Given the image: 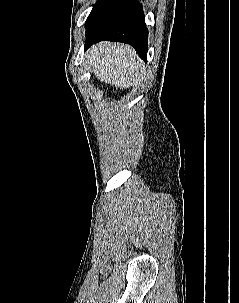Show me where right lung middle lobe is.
<instances>
[{
  "label": "right lung middle lobe",
  "instance_id": "right-lung-middle-lobe-1",
  "mask_svg": "<svg viewBox=\"0 0 239 303\" xmlns=\"http://www.w3.org/2000/svg\"><path fill=\"white\" fill-rule=\"evenodd\" d=\"M109 0H97L96 4L94 5L91 13L89 14L85 26L88 27L97 14L105 7Z\"/></svg>",
  "mask_w": 239,
  "mask_h": 303
}]
</instances>
